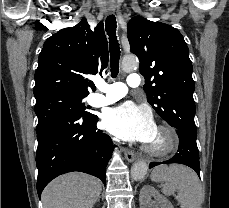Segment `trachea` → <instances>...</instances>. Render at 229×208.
<instances>
[{
	"mask_svg": "<svg viewBox=\"0 0 229 208\" xmlns=\"http://www.w3.org/2000/svg\"><path fill=\"white\" fill-rule=\"evenodd\" d=\"M116 28V17L109 15L105 20V29L109 35L110 71L112 78H115L119 73L120 46L116 37Z\"/></svg>",
	"mask_w": 229,
	"mask_h": 208,
	"instance_id": "3493384b",
	"label": "trachea"
}]
</instances>
